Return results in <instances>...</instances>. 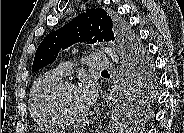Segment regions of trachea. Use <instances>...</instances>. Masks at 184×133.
Segmentation results:
<instances>
[{"label": "trachea", "mask_w": 184, "mask_h": 133, "mask_svg": "<svg viewBox=\"0 0 184 133\" xmlns=\"http://www.w3.org/2000/svg\"><path fill=\"white\" fill-rule=\"evenodd\" d=\"M102 72H108L107 70H104V71H102Z\"/></svg>", "instance_id": "obj_1"}]
</instances>
